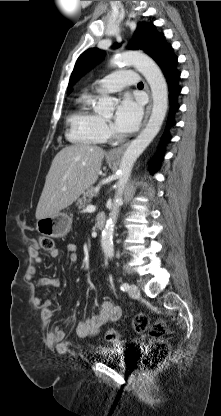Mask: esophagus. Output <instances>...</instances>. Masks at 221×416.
Returning <instances> with one entry per match:
<instances>
[{"label": "esophagus", "instance_id": "1", "mask_svg": "<svg viewBox=\"0 0 221 416\" xmlns=\"http://www.w3.org/2000/svg\"><path fill=\"white\" fill-rule=\"evenodd\" d=\"M145 89H146V91L149 95V102H148V105L146 107L145 117H144V120H143L142 128L145 126V124H146V122L149 118L151 108H152V97H151L150 90H149L147 84H145ZM128 144L129 143H125V144H123L119 147H116V148H113V149L109 150V152L107 153V156L111 157V158H119L123 154V152H124L125 148L128 146Z\"/></svg>", "mask_w": 221, "mask_h": 416}]
</instances>
